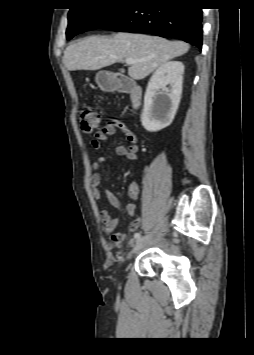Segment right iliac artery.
<instances>
[{
  "instance_id": "obj_1",
  "label": "right iliac artery",
  "mask_w": 254,
  "mask_h": 355,
  "mask_svg": "<svg viewBox=\"0 0 254 355\" xmlns=\"http://www.w3.org/2000/svg\"><path fill=\"white\" fill-rule=\"evenodd\" d=\"M134 238L137 239V240L140 239V238H141V234L138 233V232L135 233V234H134Z\"/></svg>"
}]
</instances>
